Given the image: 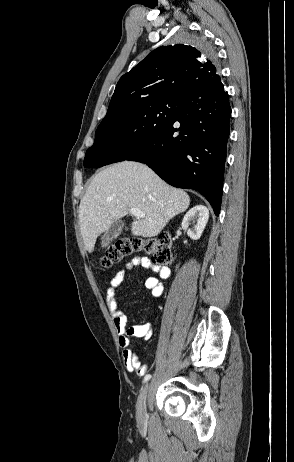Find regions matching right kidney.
I'll return each mask as SVG.
<instances>
[{
	"instance_id": "1",
	"label": "right kidney",
	"mask_w": 294,
	"mask_h": 462,
	"mask_svg": "<svg viewBox=\"0 0 294 462\" xmlns=\"http://www.w3.org/2000/svg\"><path fill=\"white\" fill-rule=\"evenodd\" d=\"M209 210L203 205H196L191 208L184 216L182 221V229L187 231V235L193 239L198 240L208 222ZM191 224H194L193 228H189Z\"/></svg>"
}]
</instances>
